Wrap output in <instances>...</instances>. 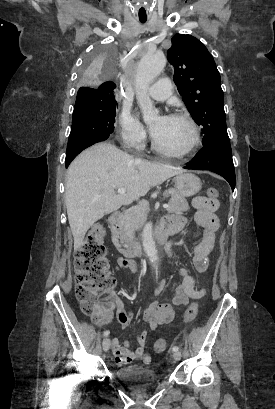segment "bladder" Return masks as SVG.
<instances>
[{
	"label": "bladder",
	"mask_w": 275,
	"mask_h": 409,
	"mask_svg": "<svg viewBox=\"0 0 275 409\" xmlns=\"http://www.w3.org/2000/svg\"><path fill=\"white\" fill-rule=\"evenodd\" d=\"M115 371L117 382H123L133 390L153 386L162 379L152 367L135 363L117 367Z\"/></svg>",
	"instance_id": "obj_1"
}]
</instances>
